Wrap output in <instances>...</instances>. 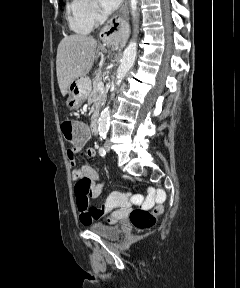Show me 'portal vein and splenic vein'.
<instances>
[{"instance_id":"18ae733b","label":"portal vein and splenic vein","mask_w":240,"mask_h":288,"mask_svg":"<svg viewBox=\"0 0 240 288\" xmlns=\"http://www.w3.org/2000/svg\"><path fill=\"white\" fill-rule=\"evenodd\" d=\"M98 89L99 90H103L104 89V83H103L102 80H100L99 83H98Z\"/></svg>"}]
</instances>
